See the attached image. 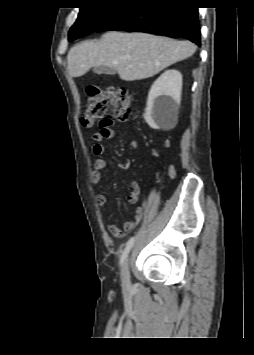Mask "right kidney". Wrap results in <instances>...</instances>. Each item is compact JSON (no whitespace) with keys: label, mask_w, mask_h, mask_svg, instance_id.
<instances>
[{"label":"right kidney","mask_w":254,"mask_h":355,"mask_svg":"<svg viewBox=\"0 0 254 355\" xmlns=\"http://www.w3.org/2000/svg\"><path fill=\"white\" fill-rule=\"evenodd\" d=\"M181 90L182 75L177 70L165 71L153 83L144 113V119L151 128H168L176 123Z\"/></svg>","instance_id":"ca27d5eb"}]
</instances>
